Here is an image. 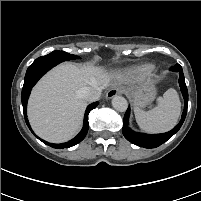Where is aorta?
I'll use <instances>...</instances> for the list:
<instances>
[{
	"mask_svg": "<svg viewBox=\"0 0 201 201\" xmlns=\"http://www.w3.org/2000/svg\"><path fill=\"white\" fill-rule=\"evenodd\" d=\"M112 106L115 110L124 112L128 107L127 100L122 96H114L112 99Z\"/></svg>",
	"mask_w": 201,
	"mask_h": 201,
	"instance_id": "1",
	"label": "aorta"
}]
</instances>
